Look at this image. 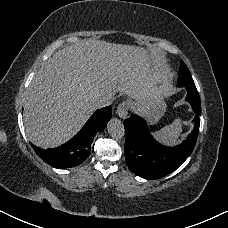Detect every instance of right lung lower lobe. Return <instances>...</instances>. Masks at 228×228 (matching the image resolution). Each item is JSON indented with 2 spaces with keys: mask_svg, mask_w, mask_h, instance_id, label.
Masks as SVG:
<instances>
[{
  "mask_svg": "<svg viewBox=\"0 0 228 228\" xmlns=\"http://www.w3.org/2000/svg\"><path fill=\"white\" fill-rule=\"evenodd\" d=\"M111 108L97 110L78 134L59 147L44 150L30 144L38 156L52 167L65 169L78 166L90 155L96 133L102 131L111 119Z\"/></svg>",
  "mask_w": 228,
  "mask_h": 228,
  "instance_id": "1",
  "label": "right lung lower lobe"
}]
</instances>
